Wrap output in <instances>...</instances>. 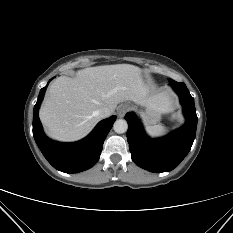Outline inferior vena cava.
<instances>
[{
    "label": "inferior vena cava",
    "instance_id": "1",
    "mask_svg": "<svg viewBox=\"0 0 233 233\" xmlns=\"http://www.w3.org/2000/svg\"><path fill=\"white\" fill-rule=\"evenodd\" d=\"M100 118H107L111 115V111L108 108H102L96 112Z\"/></svg>",
    "mask_w": 233,
    "mask_h": 233
}]
</instances>
